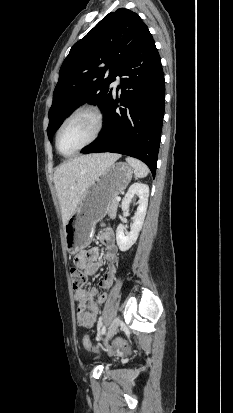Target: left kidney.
I'll return each mask as SVG.
<instances>
[{
	"label": "left kidney",
	"mask_w": 233,
	"mask_h": 413,
	"mask_svg": "<svg viewBox=\"0 0 233 413\" xmlns=\"http://www.w3.org/2000/svg\"><path fill=\"white\" fill-rule=\"evenodd\" d=\"M135 195L139 197V201L137 211L134 214V221L131 225L130 232L125 233V227L123 224H119L116 230L117 245L122 252L129 250L132 245H134L142 228L148 206V185L142 183H134L130 186L121 203L123 212L129 210V205Z\"/></svg>",
	"instance_id": "obj_1"
}]
</instances>
